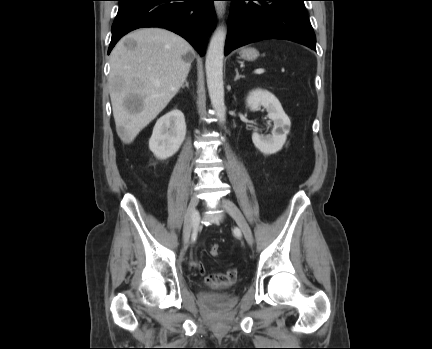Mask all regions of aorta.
I'll return each mask as SVG.
<instances>
[{
	"mask_svg": "<svg viewBox=\"0 0 432 349\" xmlns=\"http://www.w3.org/2000/svg\"><path fill=\"white\" fill-rule=\"evenodd\" d=\"M226 30L219 26L214 31L206 55L205 69L207 87L212 107L221 124L226 121V106L224 103L223 58Z\"/></svg>",
	"mask_w": 432,
	"mask_h": 349,
	"instance_id": "1",
	"label": "aorta"
}]
</instances>
